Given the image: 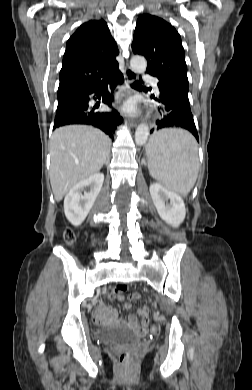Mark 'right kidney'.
<instances>
[{"instance_id": "1", "label": "right kidney", "mask_w": 252, "mask_h": 390, "mask_svg": "<svg viewBox=\"0 0 252 390\" xmlns=\"http://www.w3.org/2000/svg\"><path fill=\"white\" fill-rule=\"evenodd\" d=\"M104 182L103 173H95L92 176L77 183L65 196L64 212L67 219L79 226L90 212ZM89 188V192L85 189ZM84 191V194L82 192Z\"/></svg>"}]
</instances>
